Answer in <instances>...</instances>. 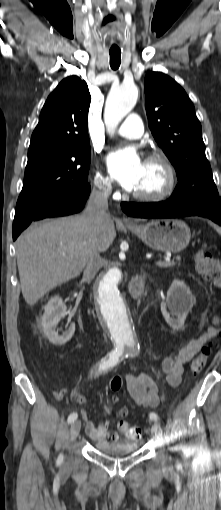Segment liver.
I'll use <instances>...</instances> for the list:
<instances>
[{
	"mask_svg": "<svg viewBox=\"0 0 221 510\" xmlns=\"http://www.w3.org/2000/svg\"><path fill=\"white\" fill-rule=\"evenodd\" d=\"M116 230L110 218L99 232L89 230L85 214L32 224L16 241L23 297L33 306L51 289L76 278L85 267L91 245L105 252Z\"/></svg>",
	"mask_w": 221,
	"mask_h": 510,
	"instance_id": "obj_1",
	"label": "liver"
}]
</instances>
